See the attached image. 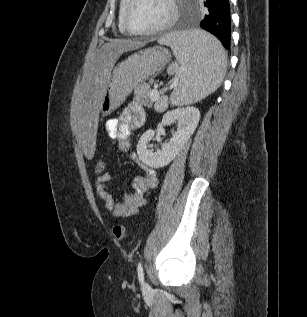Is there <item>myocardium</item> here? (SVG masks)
<instances>
[{
    "mask_svg": "<svg viewBox=\"0 0 307 317\" xmlns=\"http://www.w3.org/2000/svg\"><path fill=\"white\" fill-rule=\"evenodd\" d=\"M135 0H127V3L124 7L123 10V15H122V21H123V25L125 30L132 34V35H137V36H153V35H157L165 30H167L168 28H170L172 25L175 24L177 17H178V7L176 4V0H168L169 5H170V15L167 18V20L165 22H163L162 24L156 26L155 28L149 29V30H134L130 24H129V20H128V13L130 10L131 5L133 4Z\"/></svg>",
    "mask_w": 307,
    "mask_h": 317,
    "instance_id": "myocardium-1",
    "label": "myocardium"
}]
</instances>
